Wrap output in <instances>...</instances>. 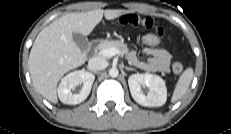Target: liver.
<instances>
[{"instance_id":"obj_1","label":"liver","mask_w":231,"mask_h":134,"mask_svg":"<svg viewBox=\"0 0 231 134\" xmlns=\"http://www.w3.org/2000/svg\"><path fill=\"white\" fill-rule=\"evenodd\" d=\"M129 13L121 9H96L66 14L37 35L31 48L28 66L36 91L52 103H57V84L68 71L85 63L86 55L73 41V33L89 35L103 16L107 20Z\"/></svg>"}]
</instances>
